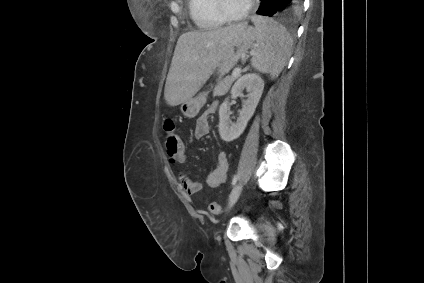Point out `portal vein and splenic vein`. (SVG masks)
Masks as SVG:
<instances>
[{"label": "portal vein and splenic vein", "instance_id": "portal-vein-and-splenic-vein-1", "mask_svg": "<svg viewBox=\"0 0 424 283\" xmlns=\"http://www.w3.org/2000/svg\"><path fill=\"white\" fill-rule=\"evenodd\" d=\"M239 74H240V68H235L232 72V75L235 77L238 76Z\"/></svg>", "mask_w": 424, "mask_h": 283}]
</instances>
